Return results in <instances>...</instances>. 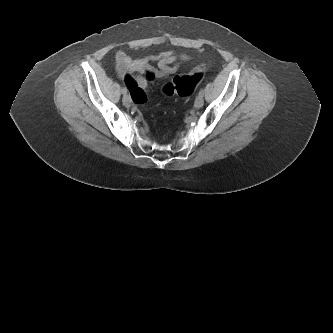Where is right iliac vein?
<instances>
[{
  "instance_id": "1",
  "label": "right iliac vein",
  "mask_w": 333,
  "mask_h": 333,
  "mask_svg": "<svg viewBox=\"0 0 333 333\" xmlns=\"http://www.w3.org/2000/svg\"><path fill=\"white\" fill-rule=\"evenodd\" d=\"M123 104L125 107L129 108L131 106V99L128 95H124Z\"/></svg>"
}]
</instances>
